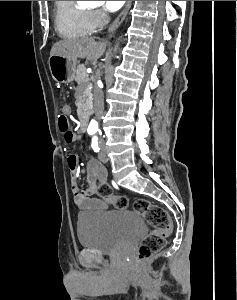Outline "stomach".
I'll list each match as a JSON object with an SVG mask.
<instances>
[{"instance_id":"1","label":"stomach","mask_w":237,"mask_h":300,"mask_svg":"<svg viewBox=\"0 0 237 300\" xmlns=\"http://www.w3.org/2000/svg\"><path fill=\"white\" fill-rule=\"evenodd\" d=\"M50 73L57 83H72L77 61L70 55H51L48 61Z\"/></svg>"}]
</instances>
